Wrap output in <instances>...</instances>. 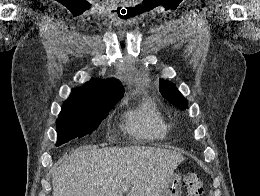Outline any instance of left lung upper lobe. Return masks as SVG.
I'll use <instances>...</instances> for the list:
<instances>
[{
	"label": "left lung upper lobe",
	"instance_id": "1",
	"mask_svg": "<svg viewBox=\"0 0 260 196\" xmlns=\"http://www.w3.org/2000/svg\"><path fill=\"white\" fill-rule=\"evenodd\" d=\"M159 90L163 97H165L173 105L183 110L187 108V100L182 96V94L172 83L160 80Z\"/></svg>",
	"mask_w": 260,
	"mask_h": 196
}]
</instances>
